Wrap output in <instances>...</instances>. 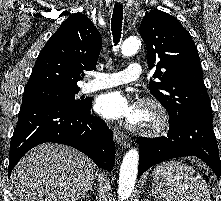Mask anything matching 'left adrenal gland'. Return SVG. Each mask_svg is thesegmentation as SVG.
<instances>
[{"instance_id":"obj_1","label":"left adrenal gland","mask_w":221,"mask_h":201,"mask_svg":"<svg viewBox=\"0 0 221 201\" xmlns=\"http://www.w3.org/2000/svg\"><path fill=\"white\" fill-rule=\"evenodd\" d=\"M150 198H152V194L151 193L149 194V196L147 198V201H149Z\"/></svg>"}]
</instances>
